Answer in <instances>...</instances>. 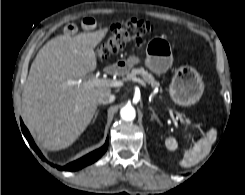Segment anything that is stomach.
I'll return each mask as SVG.
<instances>
[{
    "label": "stomach",
    "instance_id": "1",
    "mask_svg": "<svg viewBox=\"0 0 245 195\" xmlns=\"http://www.w3.org/2000/svg\"><path fill=\"white\" fill-rule=\"evenodd\" d=\"M140 62L136 55L129 56L126 60H118L113 64V70L118 75L127 74L131 68ZM172 63L170 44L161 38L153 39L148 44L146 51V66L154 73L166 72ZM204 83L199 73L190 66H181L175 71L169 86V94L174 103L181 106L195 104L201 98Z\"/></svg>",
    "mask_w": 245,
    "mask_h": 195
}]
</instances>
